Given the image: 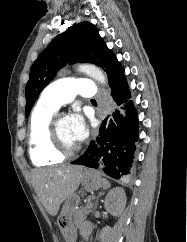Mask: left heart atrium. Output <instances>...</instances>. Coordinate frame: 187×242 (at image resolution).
<instances>
[{"label":"left heart atrium","instance_id":"1","mask_svg":"<svg viewBox=\"0 0 187 242\" xmlns=\"http://www.w3.org/2000/svg\"><path fill=\"white\" fill-rule=\"evenodd\" d=\"M68 125L74 140L79 143L87 136V127L81 114L75 112L68 118Z\"/></svg>","mask_w":187,"mask_h":242}]
</instances>
